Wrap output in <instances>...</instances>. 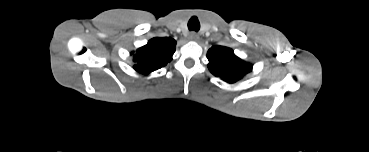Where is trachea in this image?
Wrapping results in <instances>:
<instances>
[{"label": "trachea", "mask_w": 369, "mask_h": 152, "mask_svg": "<svg viewBox=\"0 0 369 152\" xmlns=\"http://www.w3.org/2000/svg\"><path fill=\"white\" fill-rule=\"evenodd\" d=\"M188 28L190 31H199L200 23L196 17H192L188 22Z\"/></svg>", "instance_id": "trachea-1"}]
</instances>
